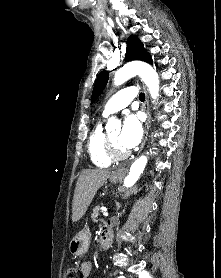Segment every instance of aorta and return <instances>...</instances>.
Returning a JSON list of instances; mask_svg holds the SVG:
<instances>
[{"label": "aorta", "mask_w": 221, "mask_h": 278, "mask_svg": "<svg viewBox=\"0 0 221 278\" xmlns=\"http://www.w3.org/2000/svg\"><path fill=\"white\" fill-rule=\"evenodd\" d=\"M135 75L142 78L148 87L151 98L156 100L159 97V77L153 67L145 62L133 61L125 64L116 72L114 85H122ZM147 161V157L142 155L131 165L130 171L124 179L125 187H131L137 182L145 169Z\"/></svg>", "instance_id": "aorta-1"}]
</instances>
